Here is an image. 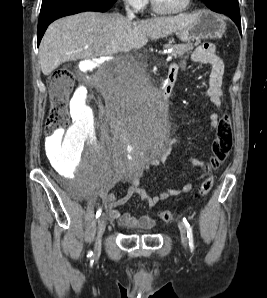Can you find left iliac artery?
<instances>
[{
  "label": "left iliac artery",
  "mask_w": 267,
  "mask_h": 298,
  "mask_svg": "<svg viewBox=\"0 0 267 298\" xmlns=\"http://www.w3.org/2000/svg\"><path fill=\"white\" fill-rule=\"evenodd\" d=\"M183 223H184L185 228L187 230V237L189 238V247H190L191 251H193V249H194V239H193L192 227L190 226V224L188 223L186 218H183Z\"/></svg>",
  "instance_id": "44dca946"
}]
</instances>
